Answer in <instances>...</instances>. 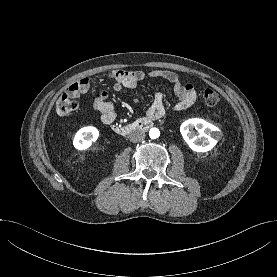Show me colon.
Instances as JSON below:
<instances>
[{
  "mask_svg": "<svg viewBox=\"0 0 277 277\" xmlns=\"http://www.w3.org/2000/svg\"><path fill=\"white\" fill-rule=\"evenodd\" d=\"M87 91L85 81L74 83L66 93L61 95L56 102V111L61 116H66L76 111L78 105L75 98ZM204 101L209 106L216 105L220 100V95L213 89H206L203 93Z\"/></svg>",
  "mask_w": 277,
  "mask_h": 277,
  "instance_id": "5ec220e1",
  "label": "colon"
}]
</instances>
